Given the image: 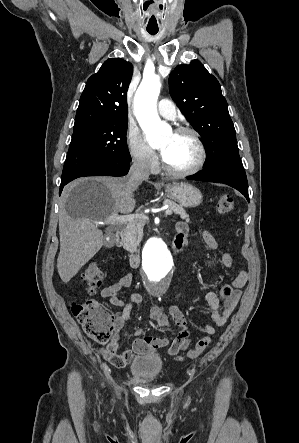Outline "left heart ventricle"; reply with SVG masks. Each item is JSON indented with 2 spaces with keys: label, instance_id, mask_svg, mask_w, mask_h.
I'll return each instance as SVG.
<instances>
[{
  "label": "left heart ventricle",
  "instance_id": "obj_1",
  "mask_svg": "<svg viewBox=\"0 0 299 443\" xmlns=\"http://www.w3.org/2000/svg\"><path fill=\"white\" fill-rule=\"evenodd\" d=\"M158 148L164 162L176 170L189 168L198 156L196 143L189 134L170 132L162 139Z\"/></svg>",
  "mask_w": 299,
  "mask_h": 443
}]
</instances>
